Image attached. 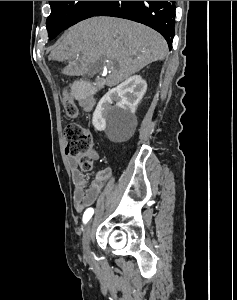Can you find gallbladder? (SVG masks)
<instances>
[{"instance_id":"gallbladder-1","label":"gallbladder","mask_w":237,"mask_h":300,"mask_svg":"<svg viewBox=\"0 0 237 300\" xmlns=\"http://www.w3.org/2000/svg\"><path fill=\"white\" fill-rule=\"evenodd\" d=\"M88 86H87V84H78L77 87H72L70 89V92L72 94H75L76 99H84L85 94H97L99 92V89H98L99 84L97 82H92L90 84V87H88ZM86 96H88V95H86Z\"/></svg>"}]
</instances>
